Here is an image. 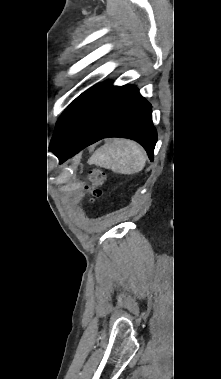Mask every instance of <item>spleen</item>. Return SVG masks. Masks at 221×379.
Returning a JSON list of instances; mask_svg holds the SVG:
<instances>
[{"label": "spleen", "mask_w": 221, "mask_h": 379, "mask_svg": "<svg viewBox=\"0 0 221 379\" xmlns=\"http://www.w3.org/2000/svg\"><path fill=\"white\" fill-rule=\"evenodd\" d=\"M88 163L110 169L117 174L131 175L144 168L146 153L134 141L113 139L97 149Z\"/></svg>", "instance_id": "3e777b00"}]
</instances>
